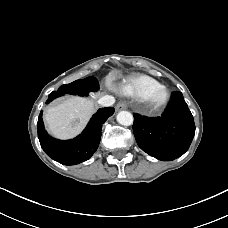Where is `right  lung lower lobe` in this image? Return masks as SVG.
Wrapping results in <instances>:
<instances>
[{"label": "right lung lower lobe", "mask_w": 228, "mask_h": 228, "mask_svg": "<svg viewBox=\"0 0 228 228\" xmlns=\"http://www.w3.org/2000/svg\"><path fill=\"white\" fill-rule=\"evenodd\" d=\"M62 95L64 94L58 91L52 92L46 104ZM114 111L112 107L99 109L93 115L82 134L67 141L54 139L47 134L41 111L38 118L37 130L42 149L50 158L64 165H74L88 160L99 146L102 125Z\"/></svg>", "instance_id": "1"}]
</instances>
